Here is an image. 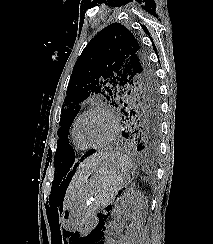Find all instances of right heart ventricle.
Wrapping results in <instances>:
<instances>
[{
	"mask_svg": "<svg viewBox=\"0 0 213 244\" xmlns=\"http://www.w3.org/2000/svg\"><path fill=\"white\" fill-rule=\"evenodd\" d=\"M73 128V127H72ZM71 139H72V142L74 144V146L77 148V149H83L77 142L76 140L74 139L73 135H72V129H71Z\"/></svg>",
	"mask_w": 213,
	"mask_h": 244,
	"instance_id": "e07e8e85",
	"label": "right heart ventricle"
}]
</instances>
